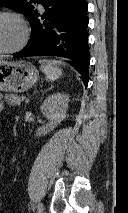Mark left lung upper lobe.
<instances>
[{
    "mask_svg": "<svg viewBox=\"0 0 128 213\" xmlns=\"http://www.w3.org/2000/svg\"><path fill=\"white\" fill-rule=\"evenodd\" d=\"M37 0H0V6H6L23 13L28 20L32 16L34 4Z\"/></svg>",
    "mask_w": 128,
    "mask_h": 213,
    "instance_id": "obj_1",
    "label": "left lung upper lobe"
}]
</instances>
